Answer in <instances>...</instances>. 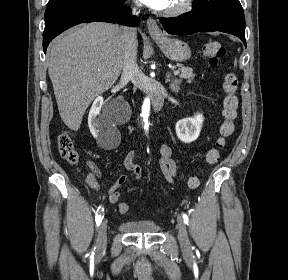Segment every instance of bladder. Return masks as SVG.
I'll list each match as a JSON object with an SVG mask.
<instances>
[{
	"instance_id": "bladder-1",
	"label": "bladder",
	"mask_w": 288,
	"mask_h": 280,
	"mask_svg": "<svg viewBox=\"0 0 288 280\" xmlns=\"http://www.w3.org/2000/svg\"><path fill=\"white\" fill-rule=\"evenodd\" d=\"M124 232L132 234H154L160 230L158 223L152 220H128L119 226Z\"/></svg>"
}]
</instances>
